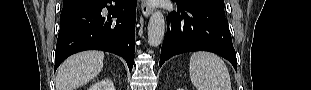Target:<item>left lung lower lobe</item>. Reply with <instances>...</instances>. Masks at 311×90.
<instances>
[{
	"instance_id": "obj_1",
	"label": "left lung lower lobe",
	"mask_w": 311,
	"mask_h": 90,
	"mask_svg": "<svg viewBox=\"0 0 311 90\" xmlns=\"http://www.w3.org/2000/svg\"><path fill=\"white\" fill-rule=\"evenodd\" d=\"M175 5L177 12L167 16L168 29L161 49L160 67L174 55L209 51L229 60L237 70L236 53L224 16L198 7Z\"/></svg>"
}]
</instances>
